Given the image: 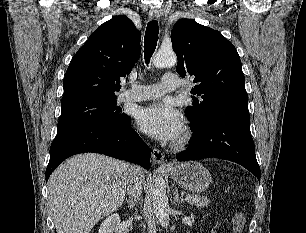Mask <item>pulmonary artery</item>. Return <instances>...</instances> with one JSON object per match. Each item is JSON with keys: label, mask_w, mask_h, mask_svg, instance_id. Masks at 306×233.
Listing matches in <instances>:
<instances>
[{"label": "pulmonary artery", "mask_w": 306, "mask_h": 233, "mask_svg": "<svg viewBox=\"0 0 306 233\" xmlns=\"http://www.w3.org/2000/svg\"><path fill=\"white\" fill-rule=\"evenodd\" d=\"M180 80L177 75L170 74L162 78L160 84L139 85L132 89L123 91L119 102H136L158 98L167 92L178 90Z\"/></svg>", "instance_id": "pulmonary-artery-1"}]
</instances>
